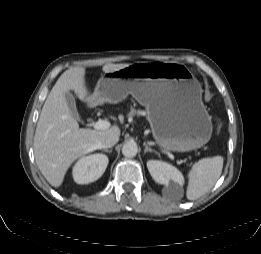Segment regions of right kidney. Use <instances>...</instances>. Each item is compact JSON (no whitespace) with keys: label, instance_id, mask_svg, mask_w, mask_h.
<instances>
[{"label":"right kidney","instance_id":"ca27d5eb","mask_svg":"<svg viewBox=\"0 0 261 254\" xmlns=\"http://www.w3.org/2000/svg\"><path fill=\"white\" fill-rule=\"evenodd\" d=\"M109 159L104 154H92L80 158L73 167L77 184H88L99 179L105 172Z\"/></svg>","mask_w":261,"mask_h":254}]
</instances>
